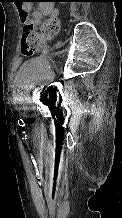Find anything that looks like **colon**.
<instances>
[{"label": "colon", "instance_id": "1", "mask_svg": "<svg viewBox=\"0 0 122 218\" xmlns=\"http://www.w3.org/2000/svg\"><path fill=\"white\" fill-rule=\"evenodd\" d=\"M25 20L21 39V53L31 56L39 52L47 41L52 40L58 33L59 23L55 18L47 19L41 26L39 32L35 31L33 23L28 19L26 11H22Z\"/></svg>", "mask_w": 122, "mask_h": 218}]
</instances>
